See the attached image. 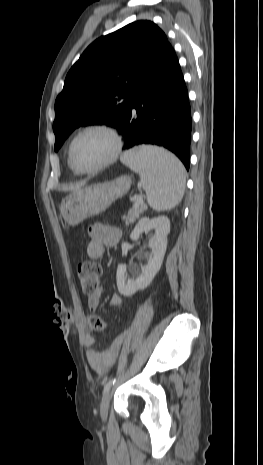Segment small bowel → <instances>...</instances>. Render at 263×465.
<instances>
[{
	"mask_svg": "<svg viewBox=\"0 0 263 465\" xmlns=\"http://www.w3.org/2000/svg\"><path fill=\"white\" fill-rule=\"evenodd\" d=\"M90 241L87 246V254L92 259H98L103 256L105 247L115 246L121 237L119 229L104 225L102 223H93L88 229ZM101 298V291L89 295L87 306L92 314H96ZM123 299L120 295L114 294L110 299V305L118 307L122 304ZM97 315V314H96ZM87 359L92 367L99 374L107 372L115 363L119 351L124 342V335L116 337L105 349L96 347V339L91 335H86Z\"/></svg>",
	"mask_w": 263,
	"mask_h": 465,
	"instance_id": "obj_1",
	"label": "small bowel"
}]
</instances>
